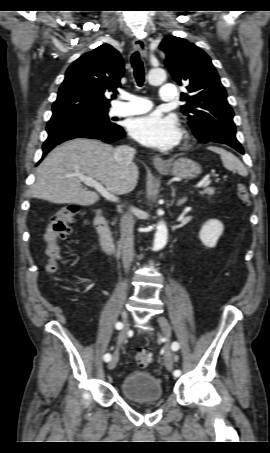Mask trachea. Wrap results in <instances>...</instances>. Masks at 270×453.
I'll list each match as a JSON object with an SVG mask.
<instances>
[{"label":"trachea","mask_w":270,"mask_h":453,"mask_svg":"<svg viewBox=\"0 0 270 453\" xmlns=\"http://www.w3.org/2000/svg\"><path fill=\"white\" fill-rule=\"evenodd\" d=\"M131 65L134 70V77L138 86H142L145 80V72L143 62L140 58L138 51L134 52L131 56Z\"/></svg>","instance_id":"trachea-1"}]
</instances>
